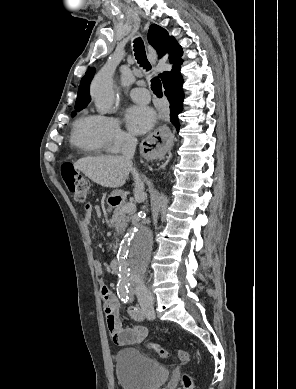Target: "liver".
I'll return each instance as SVG.
<instances>
[{
	"label": "liver",
	"instance_id": "liver-1",
	"mask_svg": "<svg viewBox=\"0 0 296 389\" xmlns=\"http://www.w3.org/2000/svg\"><path fill=\"white\" fill-rule=\"evenodd\" d=\"M74 169L83 172L94 183L107 188H118L125 184L129 174L134 179V197L140 202L146 199L144 184L124 156L84 157L74 163Z\"/></svg>",
	"mask_w": 296,
	"mask_h": 389
}]
</instances>
